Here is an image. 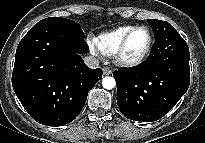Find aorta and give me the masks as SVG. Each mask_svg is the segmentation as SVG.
<instances>
[{"mask_svg": "<svg viewBox=\"0 0 205 143\" xmlns=\"http://www.w3.org/2000/svg\"><path fill=\"white\" fill-rule=\"evenodd\" d=\"M102 85L105 89L111 90L115 87L116 82L115 79L111 76H106L102 79Z\"/></svg>", "mask_w": 205, "mask_h": 143, "instance_id": "obj_1", "label": "aorta"}]
</instances>
